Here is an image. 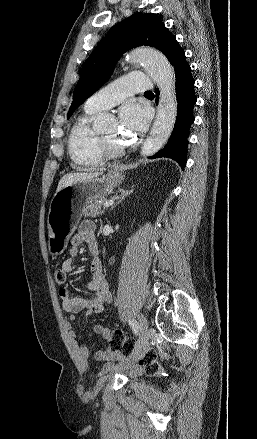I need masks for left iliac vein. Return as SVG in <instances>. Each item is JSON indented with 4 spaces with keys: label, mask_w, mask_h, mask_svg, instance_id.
I'll list each match as a JSON object with an SVG mask.
<instances>
[{
    "label": "left iliac vein",
    "mask_w": 257,
    "mask_h": 439,
    "mask_svg": "<svg viewBox=\"0 0 257 439\" xmlns=\"http://www.w3.org/2000/svg\"><path fill=\"white\" fill-rule=\"evenodd\" d=\"M139 331H140V338H139V348L143 349L149 344L150 339V329L148 326L147 319L141 314L139 316ZM140 354L137 352L133 357L132 361H135L139 358Z\"/></svg>",
    "instance_id": "obj_1"
}]
</instances>
